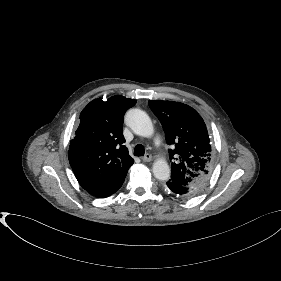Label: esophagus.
Returning <instances> with one entry per match:
<instances>
[{
    "mask_svg": "<svg viewBox=\"0 0 281 281\" xmlns=\"http://www.w3.org/2000/svg\"><path fill=\"white\" fill-rule=\"evenodd\" d=\"M142 161L143 162H150V161H152V156L147 153L142 157Z\"/></svg>",
    "mask_w": 281,
    "mask_h": 281,
    "instance_id": "1",
    "label": "esophagus"
}]
</instances>
